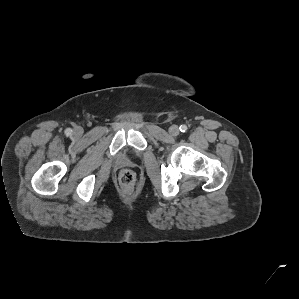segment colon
<instances>
[{
    "label": "colon",
    "mask_w": 299,
    "mask_h": 299,
    "mask_svg": "<svg viewBox=\"0 0 299 299\" xmlns=\"http://www.w3.org/2000/svg\"><path fill=\"white\" fill-rule=\"evenodd\" d=\"M119 181L120 183L126 187L131 188L135 184V174L130 169H124L119 174Z\"/></svg>",
    "instance_id": "colon-1"
}]
</instances>
